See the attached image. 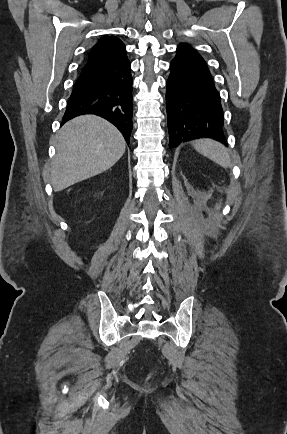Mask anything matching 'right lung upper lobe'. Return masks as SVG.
I'll return each mask as SVG.
<instances>
[{
  "label": "right lung upper lobe",
  "mask_w": 287,
  "mask_h": 434,
  "mask_svg": "<svg viewBox=\"0 0 287 434\" xmlns=\"http://www.w3.org/2000/svg\"><path fill=\"white\" fill-rule=\"evenodd\" d=\"M125 51V45L120 39L104 37L93 46L86 63L102 61Z\"/></svg>",
  "instance_id": "right-lung-upper-lobe-1"
}]
</instances>
